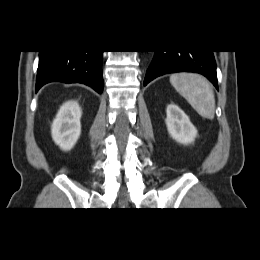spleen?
I'll return each mask as SVG.
<instances>
[{
	"label": "spleen",
	"mask_w": 260,
	"mask_h": 260,
	"mask_svg": "<svg viewBox=\"0 0 260 260\" xmlns=\"http://www.w3.org/2000/svg\"><path fill=\"white\" fill-rule=\"evenodd\" d=\"M170 83L203 118L212 120L215 115V97L209 81L198 74L176 73Z\"/></svg>",
	"instance_id": "3e777b00"
}]
</instances>
